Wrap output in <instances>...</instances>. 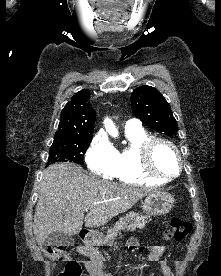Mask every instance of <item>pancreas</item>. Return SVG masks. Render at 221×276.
Returning a JSON list of instances; mask_svg holds the SVG:
<instances>
[{
  "label": "pancreas",
  "instance_id": "1",
  "mask_svg": "<svg viewBox=\"0 0 221 276\" xmlns=\"http://www.w3.org/2000/svg\"><path fill=\"white\" fill-rule=\"evenodd\" d=\"M146 219V216L129 212L125 216L121 217L113 227L108 229L107 235L101 244L112 245L113 241L117 237V234L123 229L134 230L136 228H143L145 226Z\"/></svg>",
  "mask_w": 221,
  "mask_h": 276
}]
</instances>
